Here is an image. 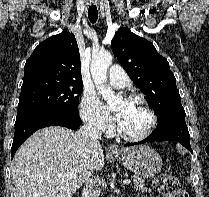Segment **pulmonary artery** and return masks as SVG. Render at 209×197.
Here are the masks:
<instances>
[{
    "instance_id": "e3ab8cb5",
    "label": "pulmonary artery",
    "mask_w": 209,
    "mask_h": 197,
    "mask_svg": "<svg viewBox=\"0 0 209 197\" xmlns=\"http://www.w3.org/2000/svg\"><path fill=\"white\" fill-rule=\"evenodd\" d=\"M130 80L127 73L119 65H113L109 69V83L115 88H125Z\"/></svg>"
}]
</instances>
